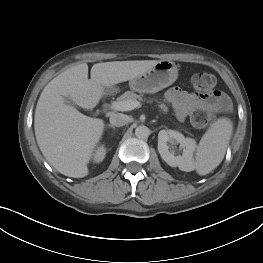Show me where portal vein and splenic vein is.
<instances>
[{"label": "portal vein and splenic vein", "mask_w": 263, "mask_h": 263, "mask_svg": "<svg viewBox=\"0 0 263 263\" xmlns=\"http://www.w3.org/2000/svg\"><path fill=\"white\" fill-rule=\"evenodd\" d=\"M140 106L141 104L137 100L135 101L127 100V101H121V102L114 101L111 104V108L117 111H130Z\"/></svg>", "instance_id": "portal-vein-and-splenic-vein-1"}]
</instances>
